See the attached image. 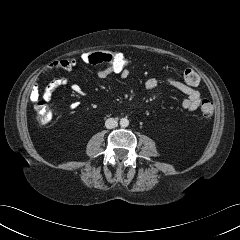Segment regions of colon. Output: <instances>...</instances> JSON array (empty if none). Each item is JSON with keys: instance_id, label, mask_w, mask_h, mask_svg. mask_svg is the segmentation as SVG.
I'll return each instance as SVG.
<instances>
[{"instance_id": "5ec220e1", "label": "colon", "mask_w": 240, "mask_h": 240, "mask_svg": "<svg viewBox=\"0 0 240 240\" xmlns=\"http://www.w3.org/2000/svg\"><path fill=\"white\" fill-rule=\"evenodd\" d=\"M81 60L89 65H97L111 68L114 72L129 71L132 60L119 52L93 51L81 55ZM200 81L199 75L193 69H186L182 74V82L188 86H197ZM36 119L41 124H47L52 119V112L42 101H35L33 105ZM204 118H210L213 113V105L209 100H203L200 106Z\"/></svg>"}]
</instances>
